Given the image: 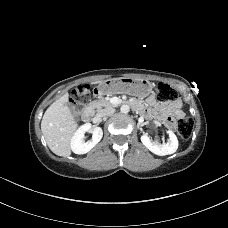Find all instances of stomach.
Wrapping results in <instances>:
<instances>
[{"mask_svg":"<svg viewBox=\"0 0 228 228\" xmlns=\"http://www.w3.org/2000/svg\"><path fill=\"white\" fill-rule=\"evenodd\" d=\"M152 89L153 84L147 79L120 77L102 81L96 87L95 93L98 96L125 93L138 97H146L152 92Z\"/></svg>","mask_w":228,"mask_h":228,"instance_id":"obj_1","label":"stomach"}]
</instances>
